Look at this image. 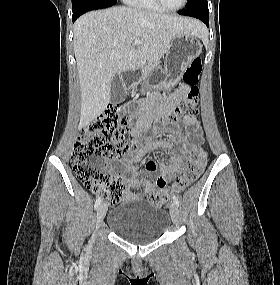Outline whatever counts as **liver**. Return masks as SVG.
<instances>
[{
	"label": "liver",
	"mask_w": 280,
	"mask_h": 285,
	"mask_svg": "<svg viewBox=\"0 0 280 285\" xmlns=\"http://www.w3.org/2000/svg\"><path fill=\"white\" fill-rule=\"evenodd\" d=\"M182 33L201 37L204 27L192 18L124 6L82 15L74 24L73 41L81 89L79 128L105 111L117 72L158 61Z\"/></svg>",
	"instance_id": "6515ba94"
}]
</instances>
